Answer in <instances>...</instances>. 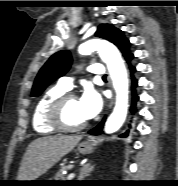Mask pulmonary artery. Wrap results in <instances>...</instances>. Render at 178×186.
I'll return each instance as SVG.
<instances>
[{"label": "pulmonary artery", "instance_id": "obj_1", "mask_svg": "<svg viewBox=\"0 0 178 186\" xmlns=\"http://www.w3.org/2000/svg\"><path fill=\"white\" fill-rule=\"evenodd\" d=\"M87 71L94 74L95 76H101L105 70L101 64H92L87 67ZM73 79L71 77H62L59 81V85L65 90H69L72 86Z\"/></svg>", "mask_w": 178, "mask_h": 186}]
</instances>
